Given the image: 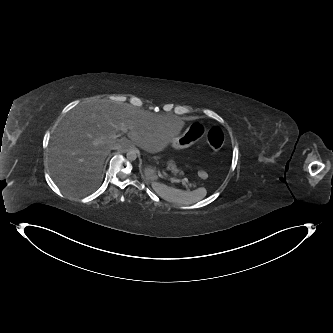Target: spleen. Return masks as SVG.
Masks as SVG:
<instances>
[{
    "label": "spleen",
    "instance_id": "3e777b00",
    "mask_svg": "<svg viewBox=\"0 0 333 333\" xmlns=\"http://www.w3.org/2000/svg\"><path fill=\"white\" fill-rule=\"evenodd\" d=\"M154 191L161 197L166 198L167 200H172L175 202H185V203H194L197 202L207 195L205 188L201 187L191 192L181 191L172 187H168L165 184H152Z\"/></svg>",
    "mask_w": 333,
    "mask_h": 333
}]
</instances>
